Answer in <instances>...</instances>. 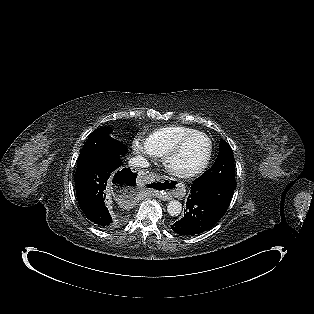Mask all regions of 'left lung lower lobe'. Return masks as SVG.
Masks as SVG:
<instances>
[{
    "mask_svg": "<svg viewBox=\"0 0 314 314\" xmlns=\"http://www.w3.org/2000/svg\"><path fill=\"white\" fill-rule=\"evenodd\" d=\"M235 181H193L186 203V213L171 225L179 235H195L210 229L225 214L230 204Z\"/></svg>",
    "mask_w": 314,
    "mask_h": 314,
    "instance_id": "left-lung-lower-lobe-1",
    "label": "left lung lower lobe"
}]
</instances>
